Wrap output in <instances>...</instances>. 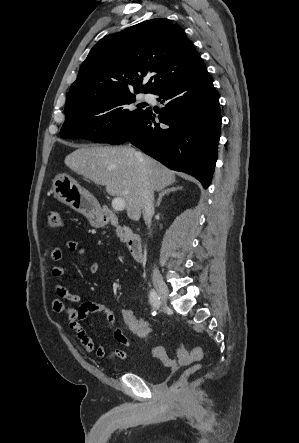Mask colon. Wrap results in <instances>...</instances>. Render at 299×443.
<instances>
[{"mask_svg": "<svg viewBox=\"0 0 299 443\" xmlns=\"http://www.w3.org/2000/svg\"><path fill=\"white\" fill-rule=\"evenodd\" d=\"M47 223L50 228H60L63 225L61 214L58 211H50L47 215ZM122 322L126 329L135 337L146 339L151 336L153 332L152 326L144 319L136 316L130 309L123 308L121 310ZM154 357L161 360L165 365L176 367L179 365L194 364L186 373V375L171 386L173 394H179L183 391L187 378L200 368V361L202 360V349L199 347L191 350L185 349L179 345L176 350L177 359L171 358L167 351L162 346H156L152 349Z\"/></svg>", "mask_w": 299, "mask_h": 443, "instance_id": "1", "label": "colon"}]
</instances>
